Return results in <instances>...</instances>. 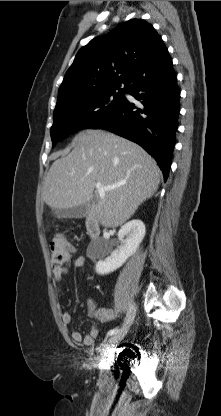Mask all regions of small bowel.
Segmentation results:
<instances>
[{
    "label": "small bowel",
    "mask_w": 221,
    "mask_h": 416,
    "mask_svg": "<svg viewBox=\"0 0 221 416\" xmlns=\"http://www.w3.org/2000/svg\"><path fill=\"white\" fill-rule=\"evenodd\" d=\"M71 262L75 268H80L84 265L85 259L83 256L77 255L72 258ZM67 271L68 270L65 265H55L53 267V277L58 285L61 284L64 276L67 274ZM88 314L91 317L97 318L101 322H111L118 318V313L115 309L100 308L92 302L88 303ZM61 320L64 325H68L71 322V314L69 312H62ZM98 336L99 329L97 326L91 327L89 332L85 335L81 334L79 331H73L71 333L72 340L76 343L82 344L85 347L93 346Z\"/></svg>",
    "instance_id": "1"
}]
</instances>
